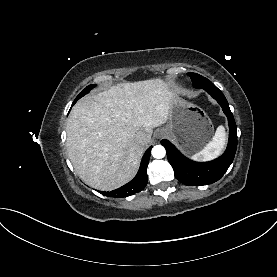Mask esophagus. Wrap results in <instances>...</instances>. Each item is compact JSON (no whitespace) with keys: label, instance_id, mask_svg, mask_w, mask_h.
Instances as JSON below:
<instances>
[{"label":"esophagus","instance_id":"obj_1","mask_svg":"<svg viewBox=\"0 0 277 277\" xmlns=\"http://www.w3.org/2000/svg\"><path fill=\"white\" fill-rule=\"evenodd\" d=\"M160 136H162L163 135V132H160V134H159Z\"/></svg>","mask_w":277,"mask_h":277}]
</instances>
